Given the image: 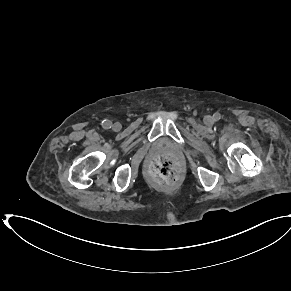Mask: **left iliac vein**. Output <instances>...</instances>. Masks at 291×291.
I'll list each match as a JSON object with an SVG mask.
<instances>
[{"instance_id": "1", "label": "left iliac vein", "mask_w": 291, "mask_h": 291, "mask_svg": "<svg viewBox=\"0 0 291 291\" xmlns=\"http://www.w3.org/2000/svg\"><path fill=\"white\" fill-rule=\"evenodd\" d=\"M205 122L206 123H211L212 122V117L211 116H206L205 117Z\"/></svg>"}]
</instances>
